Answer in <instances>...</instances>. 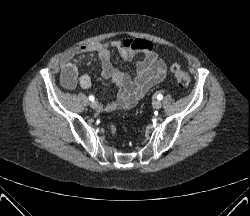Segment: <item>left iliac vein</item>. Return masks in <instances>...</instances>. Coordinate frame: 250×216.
<instances>
[{
    "label": "left iliac vein",
    "mask_w": 250,
    "mask_h": 216,
    "mask_svg": "<svg viewBox=\"0 0 250 216\" xmlns=\"http://www.w3.org/2000/svg\"><path fill=\"white\" fill-rule=\"evenodd\" d=\"M161 106H162L161 101H159V100L153 101V107H154L155 109H160Z\"/></svg>",
    "instance_id": "left-iliac-vein-1"
}]
</instances>
